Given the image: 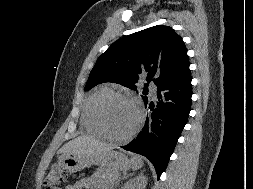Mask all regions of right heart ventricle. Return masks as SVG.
<instances>
[{"label":"right heart ventricle","mask_w":253,"mask_h":189,"mask_svg":"<svg viewBox=\"0 0 253 189\" xmlns=\"http://www.w3.org/2000/svg\"><path fill=\"white\" fill-rule=\"evenodd\" d=\"M112 92L109 87L102 86L96 89L84 102L81 113V122L85 130L93 135L102 136V132L97 126L93 109L97 100L105 94Z\"/></svg>","instance_id":"right-heart-ventricle-1"}]
</instances>
